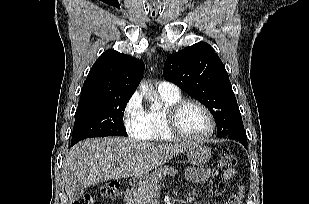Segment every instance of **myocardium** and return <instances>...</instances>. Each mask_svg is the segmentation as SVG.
Instances as JSON below:
<instances>
[{"instance_id": "myocardium-1", "label": "myocardium", "mask_w": 309, "mask_h": 204, "mask_svg": "<svg viewBox=\"0 0 309 204\" xmlns=\"http://www.w3.org/2000/svg\"><path fill=\"white\" fill-rule=\"evenodd\" d=\"M188 104H194L200 107L208 118L209 130L203 136L200 137L190 136L184 133L179 127L178 124L179 114L181 110ZM165 123L169 133L172 135L174 139H179L190 143H200L207 141L213 136L216 128L215 119L210 109L201 101L193 98L180 99L177 102L170 105L165 112Z\"/></svg>"}]
</instances>
